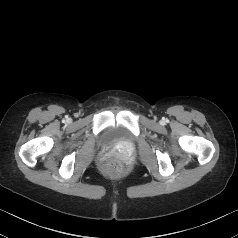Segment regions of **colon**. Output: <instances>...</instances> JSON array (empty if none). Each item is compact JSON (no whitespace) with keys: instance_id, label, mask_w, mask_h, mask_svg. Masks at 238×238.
Listing matches in <instances>:
<instances>
[{"instance_id":"obj_1","label":"colon","mask_w":238,"mask_h":238,"mask_svg":"<svg viewBox=\"0 0 238 238\" xmlns=\"http://www.w3.org/2000/svg\"><path fill=\"white\" fill-rule=\"evenodd\" d=\"M125 172L124 166L119 162H111L109 165V173L113 176H121Z\"/></svg>"}]
</instances>
